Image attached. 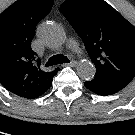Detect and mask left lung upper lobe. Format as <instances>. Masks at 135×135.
<instances>
[{"mask_svg": "<svg viewBox=\"0 0 135 135\" xmlns=\"http://www.w3.org/2000/svg\"><path fill=\"white\" fill-rule=\"evenodd\" d=\"M60 10L95 64L92 80L125 88L135 77V27L104 0H66Z\"/></svg>", "mask_w": 135, "mask_h": 135, "instance_id": "5c2ea615", "label": "left lung upper lobe"}]
</instances>
